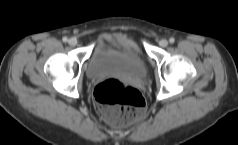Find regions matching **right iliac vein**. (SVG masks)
I'll use <instances>...</instances> for the list:
<instances>
[{"instance_id":"63e3f726","label":"right iliac vein","mask_w":238,"mask_h":145,"mask_svg":"<svg viewBox=\"0 0 238 145\" xmlns=\"http://www.w3.org/2000/svg\"><path fill=\"white\" fill-rule=\"evenodd\" d=\"M69 45L74 47L77 45V39L76 38H70L68 41Z\"/></svg>"}]
</instances>
